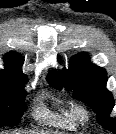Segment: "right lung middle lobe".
<instances>
[{"label": "right lung middle lobe", "mask_w": 116, "mask_h": 134, "mask_svg": "<svg viewBox=\"0 0 116 134\" xmlns=\"http://www.w3.org/2000/svg\"><path fill=\"white\" fill-rule=\"evenodd\" d=\"M26 92H0V126H17L27 106L24 101Z\"/></svg>", "instance_id": "dd1d6c3e"}]
</instances>
